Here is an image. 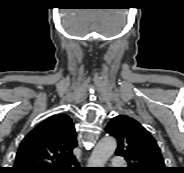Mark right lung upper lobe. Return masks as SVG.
<instances>
[{
  "mask_svg": "<svg viewBox=\"0 0 184 173\" xmlns=\"http://www.w3.org/2000/svg\"><path fill=\"white\" fill-rule=\"evenodd\" d=\"M77 146L71 118L58 114L35 127L21 142L13 173H59L76 162Z\"/></svg>",
  "mask_w": 184,
  "mask_h": 173,
  "instance_id": "cb5924a9",
  "label": "right lung upper lobe"
}]
</instances>
